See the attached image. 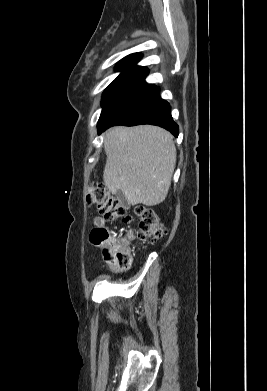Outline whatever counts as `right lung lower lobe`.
I'll return each mask as SVG.
<instances>
[{
  "instance_id": "obj_1",
  "label": "right lung lower lobe",
  "mask_w": 267,
  "mask_h": 391,
  "mask_svg": "<svg viewBox=\"0 0 267 391\" xmlns=\"http://www.w3.org/2000/svg\"><path fill=\"white\" fill-rule=\"evenodd\" d=\"M159 91L155 85L144 87L100 125L98 133L114 125L151 124L165 128L177 137L178 125L172 119L169 103L160 98Z\"/></svg>"
}]
</instances>
